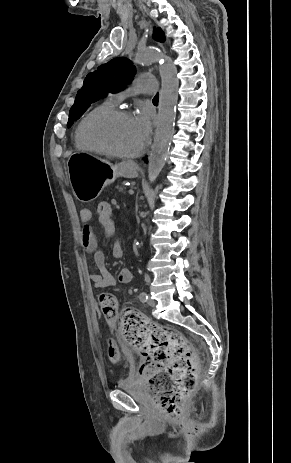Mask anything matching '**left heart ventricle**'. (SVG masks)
Masks as SVG:
<instances>
[{
    "label": "left heart ventricle",
    "instance_id": "left-heart-ventricle-1",
    "mask_svg": "<svg viewBox=\"0 0 291 463\" xmlns=\"http://www.w3.org/2000/svg\"><path fill=\"white\" fill-rule=\"evenodd\" d=\"M93 135L120 152L131 153L143 145L132 117H121L99 125Z\"/></svg>",
    "mask_w": 291,
    "mask_h": 463
}]
</instances>
